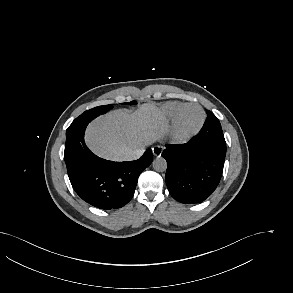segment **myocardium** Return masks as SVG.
Listing matches in <instances>:
<instances>
[{
    "instance_id": "1",
    "label": "myocardium",
    "mask_w": 293,
    "mask_h": 293,
    "mask_svg": "<svg viewBox=\"0 0 293 293\" xmlns=\"http://www.w3.org/2000/svg\"><path fill=\"white\" fill-rule=\"evenodd\" d=\"M188 107L198 108L201 111V120L198 123V125L196 127H194L193 129L188 130V131H184V130H182L181 125H180V118H181V114H182L183 110ZM205 121H206V113H205L204 109L199 104H196V103L181 104L177 108V110L172 118L171 129H170L171 140L174 143H178V144L188 142L195 135H197L199 133V131L202 129Z\"/></svg>"
}]
</instances>
